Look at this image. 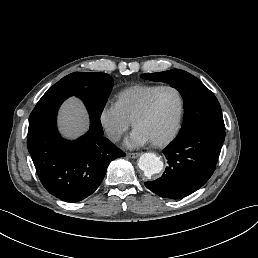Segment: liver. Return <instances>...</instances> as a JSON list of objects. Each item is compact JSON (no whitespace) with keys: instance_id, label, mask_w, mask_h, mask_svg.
<instances>
[{"instance_id":"6515ba94","label":"liver","mask_w":258,"mask_h":258,"mask_svg":"<svg viewBox=\"0 0 258 258\" xmlns=\"http://www.w3.org/2000/svg\"><path fill=\"white\" fill-rule=\"evenodd\" d=\"M57 132L66 141H75L90 128V116L79 95L68 97L57 112Z\"/></svg>"}]
</instances>
